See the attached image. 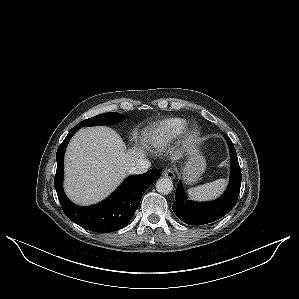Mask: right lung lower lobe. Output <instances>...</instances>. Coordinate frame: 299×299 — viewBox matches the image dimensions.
Instances as JSON below:
<instances>
[{"mask_svg": "<svg viewBox=\"0 0 299 299\" xmlns=\"http://www.w3.org/2000/svg\"><path fill=\"white\" fill-rule=\"evenodd\" d=\"M79 128L75 126L67 134L56 154L57 170L54 186L63 211L70 220L93 232H113L124 228L140 205L147 188L161 175L158 169H151L142 175L128 177L106 200L89 207L73 204L63 190V159L66 146Z\"/></svg>", "mask_w": 299, "mask_h": 299, "instance_id": "98d812e1", "label": "right lung lower lobe"}]
</instances>
